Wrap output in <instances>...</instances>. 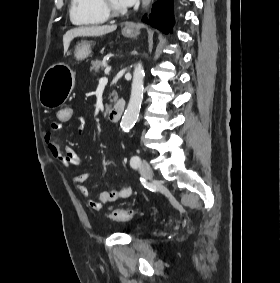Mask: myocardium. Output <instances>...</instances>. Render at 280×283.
<instances>
[{"mask_svg": "<svg viewBox=\"0 0 280 283\" xmlns=\"http://www.w3.org/2000/svg\"><path fill=\"white\" fill-rule=\"evenodd\" d=\"M100 6L103 9V11L106 13L109 17H117L122 16L127 13V8L125 9H117L113 7L109 0H99Z\"/></svg>", "mask_w": 280, "mask_h": 283, "instance_id": "f54148a6", "label": "myocardium"}]
</instances>
